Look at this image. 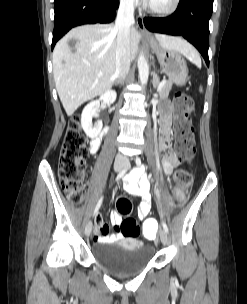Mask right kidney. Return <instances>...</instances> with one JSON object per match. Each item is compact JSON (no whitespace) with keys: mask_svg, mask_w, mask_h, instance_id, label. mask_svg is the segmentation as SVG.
Listing matches in <instances>:
<instances>
[{"mask_svg":"<svg viewBox=\"0 0 247 304\" xmlns=\"http://www.w3.org/2000/svg\"><path fill=\"white\" fill-rule=\"evenodd\" d=\"M117 94L114 90H108L100 96L99 99L91 101L87 104L81 115V125L85 134L90 138L97 137L102 130V121H98L95 126L92 125V118L97 116L100 103L113 104L116 100Z\"/></svg>","mask_w":247,"mask_h":304,"instance_id":"1","label":"right kidney"}]
</instances>
